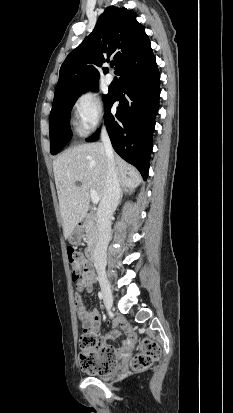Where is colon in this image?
<instances>
[{"label":"colon","mask_w":233,"mask_h":413,"mask_svg":"<svg viewBox=\"0 0 233 413\" xmlns=\"http://www.w3.org/2000/svg\"><path fill=\"white\" fill-rule=\"evenodd\" d=\"M67 256L74 281L86 280L92 276V270L84 255L73 249H67ZM80 366L90 374H106L116 367L117 354L112 348L102 349L98 338L84 333L79 338ZM160 355L159 345L152 339L145 338L140 344V351L131 362L135 371L147 369Z\"/></svg>","instance_id":"1"}]
</instances>
